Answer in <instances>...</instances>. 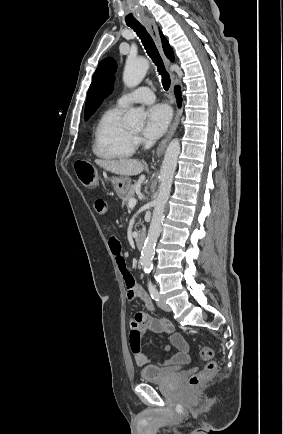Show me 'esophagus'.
I'll return each instance as SVG.
<instances>
[{"instance_id": "obj_1", "label": "esophagus", "mask_w": 283, "mask_h": 434, "mask_svg": "<svg viewBox=\"0 0 283 434\" xmlns=\"http://www.w3.org/2000/svg\"><path fill=\"white\" fill-rule=\"evenodd\" d=\"M144 24L146 25L151 37L153 38L163 60L164 63L166 65L167 68H169V66L171 65L170 60L165 56L164 52H163V48H162V43H161V39H160V35H159V31H158V27L156 22L154 21V19L146 17L144 18ZM174 77V75H172ZM174 82H176L174 80ZM180 116H181V111L179 109H177L174 120L172 122V125L167 133V135L165 136V138L160 142V144L157 147L156 150V154L157 156H161L163 154V152L165 151L168 142L170 141V139L172 138L173 134L175 133L177 126L179 124V120H180Z\"/></svg>"}]
</instances>
